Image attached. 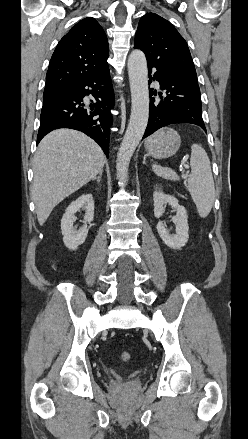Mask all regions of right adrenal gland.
Returning <instances> with one entry per match:
<instances>
[{
	"label": "right adrenal gland",
	"instance_id": "right-adrenal-gland-1",
	"mask_svg": "<svg viewBox=\"0 0 248 439\" xmlns=\"http://www.w3.org/2000/svg\"><path fill=\"white\" fill-rule=\"evenodd\" d=\"M102 173H103V170L100 171L98 177H95V178H93L92 180H96L98 183H100V180H101V177H102Z\"/></svg>",
	"mask_w": 248,
	"mask_h": 439
}]
</instances>
